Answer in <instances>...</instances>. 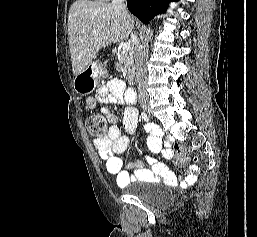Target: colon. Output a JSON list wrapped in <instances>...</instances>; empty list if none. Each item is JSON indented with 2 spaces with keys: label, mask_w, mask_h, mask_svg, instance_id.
I'll return each mask as SVG.
<instances>
[{
  "label": "colon",
  "mask_w": 257,
  "mask_h": 237,
  "mask_svg": "<svg viewBox=\"0 0 257 237\" xmlns=\"http://www.w3.org/2000/svg\"><path fill=\"white\" fill-rule=\"evenodd\" d=\"M86 126L89 133L96 138L102 139L107 133V122L101 116L95 114H89L86 117ZM175 153L179 162H184V158L187 154V149L183 146H176Z\"/></svg>",
  "instance_id": "colon-1"
}]
</instances>
